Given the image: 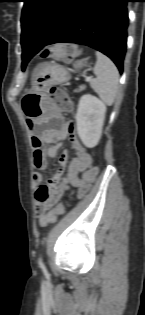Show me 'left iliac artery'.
Masks as SVG:
<instances>
[{
    "label": "left iliac artery",
    "mask_w": 145,
    "mask_h": 315,
    "mask_svg": "<svg viewBox=\"0 0 145 315\" xmlns=\"http://www.w3.org/2000/svg\"><path fill=\"white\" fill-rule=\"evenodd\" d=\"M38 264H39V267L41 268V269H45V266H44V263H43V261H42V257L40 256L39 257V259H38Z\"/></svg>",
    "instance_id": "1"
}]
</instances>
